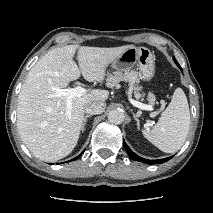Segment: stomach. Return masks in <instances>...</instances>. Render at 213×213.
I'll return each instance as SVG.
<instances>
[{
	"mask_svg": "<svg viewBox=\"0 0 213 213\" xmlns=\"http://www.w3.org/2000/svg\"><path fill=\"white\" fill-rule=\"evenodd\" d=\"M111 64L112 68L122 71L136 66L140 77L145 81H150L155 74V58L146 47L132 46L113 60Z\"/></svg>",
	"mask_w": 213,
	"mask_h": 213,
	"instance_id": "1",
	"label": "stomach"
}]
</instances>
